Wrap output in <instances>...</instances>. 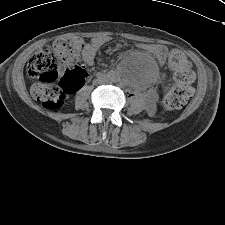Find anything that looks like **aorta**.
<instances>
[{
  "mask_svg": "<svg viewBox=\"0 0 225 225\" xmlns=\"http://www.w3.org/2000/svg\"><path fill=\"white\" fill-rule=\"evenodd\" d=\"M110 80L113 81V82L119 81L118 77H116V76L110 77Z\"/></svg>",
  "mask_w": 225,
  "mask_h": 225,
  "instance_id": "obj_1",
  "label": "aorta"
}]
</instances>
